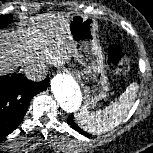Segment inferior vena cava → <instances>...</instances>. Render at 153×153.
<instances>
[{"label":"inferior vena cava","instance_id":"inferior-vena-cava-1","mask_svg":"<svg viewBox=\"0 0 153 153\" xmlns=\"http://www.w3.org/2000/svg\"><path fill=\"white\" fill-rule=\"evenodd\" d=\"M24 72L29 80L41 81L46 78L47 68L44 63H32L25 68Z\"/></svg>","mask_w":153,"mask_h":153}]
</instances>
